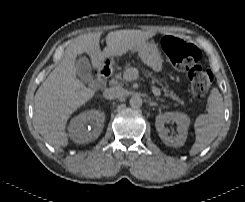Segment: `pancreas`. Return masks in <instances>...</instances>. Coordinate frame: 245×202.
I'll return each instance as SVG.
<instances>
[{
	"label": "pancreas",
	"instance_id": "1",
	"mask_svg": "<svg viewBox=\"0 0 245 202\" xmlns=\"http://www.w3.org/2000/svg\"><path fill=\"white\" fill-rule=\"evenodd\" d=\"M125 69H126V70L129 69V66L127 65V66L125 67ZM146 76H147V77H151V74H150V73H147ZM116 78L119 79V80H121V79H122L121 74H120V73L117 74V75H116ZM153 80H154V82H158V81L155 80V79H153ZM164 95L167 96V97L172 98L173 100H176V101L179 102L180 104H183V101H182V100H181V99H180V98H179L173 91H169V90L164 89Z\"/></svg>",
	"mask_w": 245,
	"mask_h": 202
}]
</instances>
